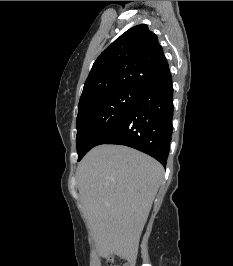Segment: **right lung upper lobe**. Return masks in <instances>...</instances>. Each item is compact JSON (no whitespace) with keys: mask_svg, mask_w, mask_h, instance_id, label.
Listing matches in <instances>:
<instances>
[{"mask_svg":"<svg viewBox=\"0 0 233 266\" xmlns=\"http://www.w3.org/2000/svg\"><path fill=\"white\" fill-rule=\"evenodd\" d=\"M169 72L157 36L137 25L117 38L94 62L80 101L121 89L144 91Z\"/></svg>","mask_w":233,"mask_h":266,"instance_id":"obj_1","label":"right lung upper lobe"}]
</instances>
